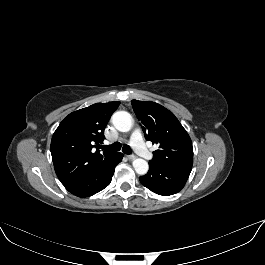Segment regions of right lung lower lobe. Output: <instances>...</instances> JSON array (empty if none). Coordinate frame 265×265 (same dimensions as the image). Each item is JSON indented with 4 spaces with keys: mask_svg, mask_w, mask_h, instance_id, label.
I'll return each mask as SVG.
<instances>
[{
    "mask_svg": "<svg viewBox=\"0 0 265 265\" xmlns=\"http://www.w3.org/2000/svg\"><path fill=\"white\" fill-rule=\"evenodd\" d=\"M122 158V153H114L86 174L68 184H65V188L70 193L78 197H88L94 195L110 184L115 167L121 162Z\"/></svg>",
    "mask_w": 265,
    "mask_h": 265,
    "instance_id": "obj_1",
    "label": "right lung lower lobe"
}]
</instances>
